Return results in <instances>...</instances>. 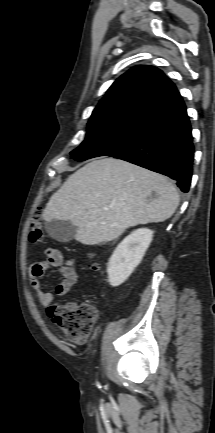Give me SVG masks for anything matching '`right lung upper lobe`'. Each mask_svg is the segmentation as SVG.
<instances>
[{"mask_svg":"<svg viewBox=\"0 0 215 433\" xmlns=\"http://www.w3.org/2000/svg\"><path fill=\"white\" fill-rule=\"evenodd\" d=\"M178 96L175 85L161 70L136 66L111 85L89 122L124 116L148 117Z\"/></svg>","mask_w":215,"mask_h":433,"instance_id":"right-lung-upper-lobe-1","label":"right lung upper lobe"}]
</instances>
